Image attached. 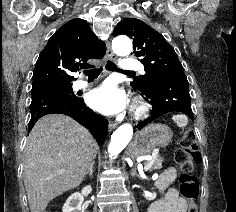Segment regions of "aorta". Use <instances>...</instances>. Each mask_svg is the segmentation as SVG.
<instances>
[{"instance_id": "aorta-1", "label": "aorta", "mask_w": 236, "mask_h": 212, "mask_svg": "<svg viewBox=\"0 0 236 212\" xmlns=\"http://www.w3.org/2000/svg\"><path fill=\"white\" fill-rule=\"evenodd\" d=\"M113 51L120 56H126L132 51V42L126 36H118L112 42ZM133 135V128L130 124H122L111 136L108 146L110 156L118 155L130 142Z\"/></svg>"}]
</instances>
